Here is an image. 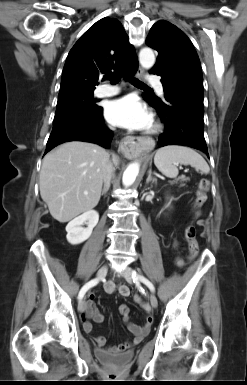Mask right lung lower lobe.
<instances>
[{
  "mask_svg": "<svg viewBox=\"0 0 247 385\" xmlns=\"http://www.w3.org/2000/svg\"><path fill=\"white\" fill-rule=\"evenodd\" d=\"M138 66V65H137ZM137 66L128 74L133 75ZM102 107L92 111L73 112L59 117L53 122V129L46 145V151L66 141H85L109 147L112 140V131L105 127L102 117Z\"/></svg>",
  "mask_w": 247,
  "mask_h": 385,
  "instance_id": "right-lung-lower-lobe-1",
  "label": "right lung lower lobe"
}]
</instances>
